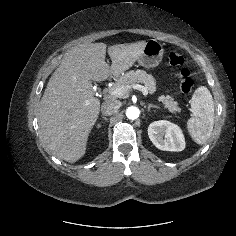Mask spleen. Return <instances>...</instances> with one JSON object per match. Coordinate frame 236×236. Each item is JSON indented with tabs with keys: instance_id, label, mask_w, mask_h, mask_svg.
I'll return each instance as SVG.
<instances>
[{
	"instance_id": "3e777b00",
	"label": "spleen",
	"mask_w": 236,
	"mask_h": 236,
	"mask_svg": "<svg viewBox=\"0 0 236 236\" xmlns=\"http://www.w3.org/2000/svg\"><path fill=\"white\" fill-rule=\"evenodd\" d=\"M191 112L192 117L187 121L188 131L196 143L204 144L214 126V102L206 87L201 86L195 90L191 98Z\"/></svg>"
}]
</instances>
